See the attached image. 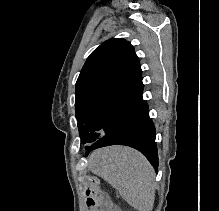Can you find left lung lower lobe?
I'll return each instance as SVG.
<instances>
[{
	"mask_svg": "<svg viewBox=\"0 0 219 211\" xmlns=\"http://www.w3.org/2000/svg\"><path fill=\"white\" fill-rule=\"evenodd\" d=\"M156 131L149 117V109L141 95L133 102L123 114L114 129L98 139L86 152V155L94 149L110 145H126L139 150L147 157L157 171L158 154L155 142Z\"/></svg>",
	"mask_w": 219,
	"mask_h": 211,
	"instance_id": "1",
	"label": "left lung lower lobe"
}]
</instances>
